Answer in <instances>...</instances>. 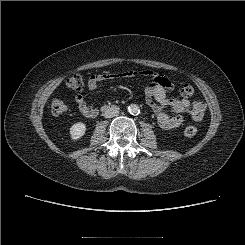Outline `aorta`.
<instances>
[{"mask_svg":"<svg viewBox=\"0 0 245 245\" xmlns=\"http://www.w3.org/2000/svg\"><path fill=\"white\" fill-rule=\"evenodd\" d=\"M128 112L131 114V115H137L139 114L140 112V108L137 104H131L129 105L128 107Z\"/></svg>","mask_w":245,"mask_h":245,"instance_id":"762f6f07","label":"aorta"}]
</instances>
